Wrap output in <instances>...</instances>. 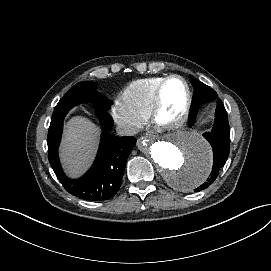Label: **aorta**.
I'll use <instances>...</instances> for the list:
<instances>
[{
	"label": "aorta",
	"mask_w": 271,
	"mask_h": 271,
	"mask_svg": "<svg viewBox=\"0 0 271 271\" xmlns=\"http://www.w3.org/2000/svg\"><path fill=\"white\" fill-rule=\"evenodd\" d=\"M139 146L175 190L191 192L210 174L212 149L196 132H172L159 140L142 137Z\"/></svg>",
	"instance_id": "obj_1"
}]
</instances>
